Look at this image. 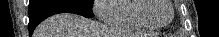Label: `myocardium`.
I'll return each mask as SVG.
<instances>
[{"label": "myocardium", "instance_id": "obj_1", "mask_svg": "<svg viewBox=\"0 0 219 37\" xmlns=\"http://www.w3.org/2000/svg\"><path fill=\"white\" fill-rule=\"evenodd\" d=\"M166 2L168 3V5L171 8V17L168 21L163 22V23H156L148 17L147 13L154 6L153 1H151V0H140L138 10H137L138 16L140 17V19L142 21H144L147 25H149L151 27H154V28L165 27V26L169 25L172 22V20L174 19V16H175V9L173 7L172 2L170 0H166Z\"/></svg>", "mask_w": 219, "mask_h": 37}]
</instances>
